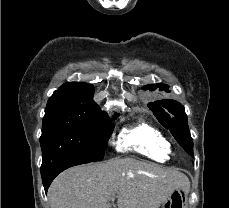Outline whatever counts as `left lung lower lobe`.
I'll list each match as a JSON object with an SVG mask.
<instances>
[{"label": "left lung lower lobe", "mask_w": 229, "mask_h": 208, "mask_svg": "<svg viewBox=\"0 0 229 208\" xmlns=\"http://www.w3.org/2000/svg\"><path fill=\"white\" fill-rule=\"evenodd\" d=\"M191 157H194L193 155V147H188L184 149Z\"/></svg>", "instance_id": "left-lung-lower-lobe-1"}]
</instances>
